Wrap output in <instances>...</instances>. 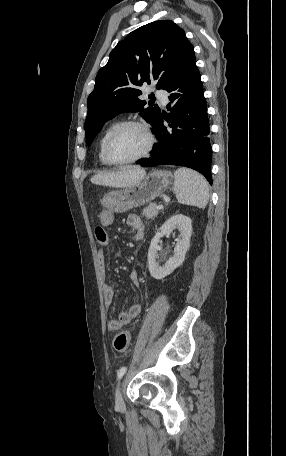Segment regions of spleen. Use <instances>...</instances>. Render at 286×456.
<instances>
[{"instance_id": "1", "label": "spleen", "mask_w": 286, "mask_h": 456, "mask_svg": "<svg viewBox=\"0 0 286 456\" xmlns=\"http://www.w3.org/2000/svg\"><path fill=\"white\" fill-rule=\"evenodd\" d=\"M174 192L179 203L204 209L209 200L206 179L196 171L179 168L174 173Z\"/></svg>"}]
</instances>
